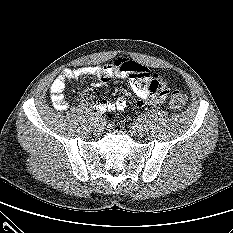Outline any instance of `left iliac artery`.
I'll return each mask as SVG.
<instances>
[{
    "label": "left iliac artery",
    "instance_id": "44dca946",
    "mask_svg": "<svg viewBox=\"0 0 233 233\" xmlns=\"http://www.w3.org/2000/svg\"><path fill=\"white\" fill-rule=\"evenodd\" d=\"M142 120H143V117H142V116H139V117H138V121H139V122H142Z\"/></svg>",
    "mask_w": 233,
    "mask_h": 233
}]
</instances>
